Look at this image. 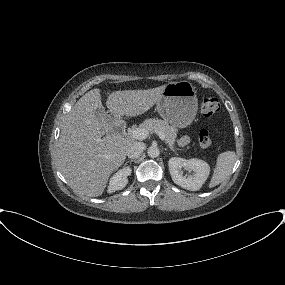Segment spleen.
I'll return each mask as SVG.
<instances>
[{"label": "spleen", "mask_w": 285, "mask_h": 285, "mask_svg": "<svg viewBox=\"0 0 285 285\" xmlns=\"http://www.w3.org/2000/svg\"><path fill=\"white\" fill-rule=\"evenodd\" d=\"M235 161L236 154L234 151H226L219 154L216 167L209 183L210 188L219 185L230 175Z\"/></svg>", "instance_id": "obj_1"}]
</instances>
